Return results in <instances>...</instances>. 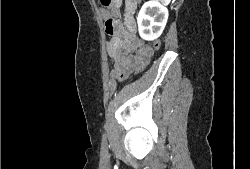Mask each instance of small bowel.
Listing matches in <instances>:
<instances>
[{"mask_svg": "<svg viewBox=\"0 0 250 169\" xmlns=\"http://www.w3.org/2000/svg\"><path fill=\"white\" fill-rule=\"evenodd\" d=\"M119 6L120 4L111 7L107 14V22L110 20L118 21ZM125 24L127 29L130 30L132 17L129 14L125 16ZM108 54L113 65L112 76L118 80H125L128 78L126 73L133 72V67H139L149 61L152 50L140 46L132 36L126 35V38L122 39L119 35H116L108 43Z\"/></svg>", "mask_w": 250, "mask_h": 169, "instance_id": "small-bowel-1", "label": "small bowel"}]
</instances>
